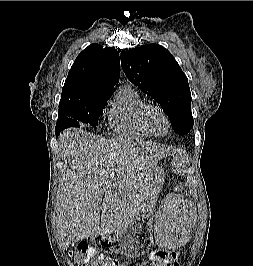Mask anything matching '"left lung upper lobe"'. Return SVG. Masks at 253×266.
Here are the masks:
<instances>
[{
  "label": "left lung upper lobe",
  "instance_id": "5c2ea615",
  "mask_svg": "<svg viewBox=\"0 0 253 266\" xmlns=\"http://www.w3.org/2000/svg\"><path fill=\"white\" fill-rule=\"evenodd\" d=\"M121 66L134 85L161 105L176 133L192 129L188 79L167 49L149 44L122 51Z\"/></svg>",
  "mask_w": 253,
  "mask_h": 266
}]
</instances>
